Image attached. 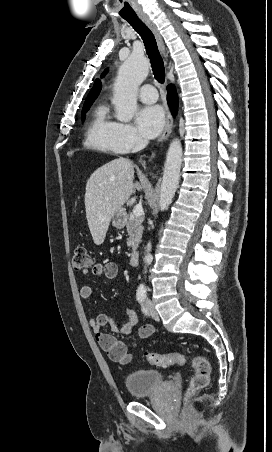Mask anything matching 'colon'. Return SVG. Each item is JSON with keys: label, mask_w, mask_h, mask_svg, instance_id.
Listing matches in <instances>:
<instances>
[{"label": "colon", "mask_w": 272, "mask_h": 452, "mask_svg": "<svg viewBox=\"0 0 272 452\" xmlns=\"http://www.w3.org/2000/svg\"><path fill=\"white\" fill-rule=\"evenodd\" d=\"M75 269H84L91 266L92 261L84 245L76 246L72 261ZM111 359L118 362H125L129 356L121 345H116L111 352ZM145 361L151 365L166 368L172 365H184L190 362L194 368V376L192 377L189 387L186 391V397H193L198 391L204 389L210 380L211 365L209 361L201 355L186 356L183 353L159 354L146 353Z\"/></svg>", "instance_id": "5ec220e1"}]
</instances>
